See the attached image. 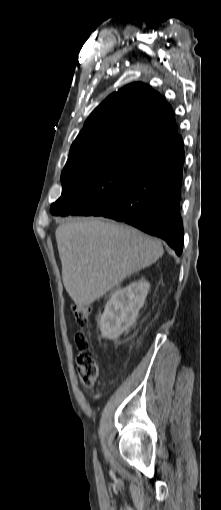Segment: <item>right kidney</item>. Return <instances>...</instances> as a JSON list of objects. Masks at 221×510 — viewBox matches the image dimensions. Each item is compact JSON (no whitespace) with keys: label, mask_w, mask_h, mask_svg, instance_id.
Returning a JSON list of instances; mask_svg holds the SVG:
<instances>
[{"label":"right kidney","mask_w":221,"mask_h":510,"mask_svg":"<svg viewBox=\"0 0 221 510\" xmlns=\"http://www.w3.org/2000/svg\"><path fill=\"white\" fill-rule=\"evenodd\" d=\"M149 289V282L141 279L125 288H118L112 293L100 317L99 327L102 337L117 339L136 322Z\"/></svg>","instance_id":"obj_1"}]
</instances>
